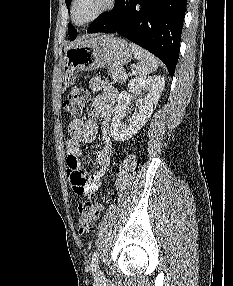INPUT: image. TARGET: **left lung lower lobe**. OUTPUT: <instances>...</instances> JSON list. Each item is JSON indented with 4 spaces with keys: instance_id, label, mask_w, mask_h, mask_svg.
Instances as JSON below:
<instances>
[{
    "instance_id": "1",
    "label": "left lung lower lobe",
    "mask_w": 233,
    "mask_h": 286,
    "mask_svg": "<svg viewBox=\"0 0 233 286\" xmlns=\"http://www.w3.org/2000/svg\"><path fill=\"white\" fill-rule=\"evenodd\" d=\"M187 0H116L108 14L89 26V33L117 32L161 59L171 77L179 57Z\"/></svg>"
}]
</instances>
